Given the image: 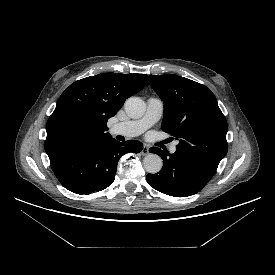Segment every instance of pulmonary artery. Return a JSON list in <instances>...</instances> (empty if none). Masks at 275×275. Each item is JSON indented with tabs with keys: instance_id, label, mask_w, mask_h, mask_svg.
I'll list each match as a JSON object with an SVG mask.
<instances>
[{
	"instance_id": "obj_1",
	"label": "pulmonary artery",
	"mask_w": 275,
	"mask_h": 275,
	"mask_svg": "<svg viewBox=\"0 0 275 275\" xmlns=\"http://www.w3.org/2000/svg\"><path fill=\"white\" fill-rule=\"evenodd\" d=\"M163 109L164 104L161 99L150 97L147 100L146 112L141 119L117 123L111 127L110 132L113 135H122L125 137L138 136L161 118ZM170 152H176L175 144L171 146Z\"/></svg>"
}]
</instances>
